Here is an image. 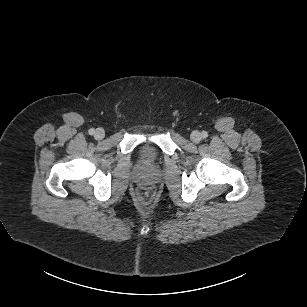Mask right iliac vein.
<instances>
[{"instance_id":"right-iliac-vein-1","label":"right iliac vein","mask_w":307,"mask_h":307,"mask_svg":"<svg viewBox=\"0 0 307 307\" xmlns=\"http://www.w3.org/2000/svg\"><path fill=\"white\" fill-rule=\"evenodd\" d=\"M105 136V132L102 128H98L96 131H95V134H94V137L97 139V140H101L103 139Z\"/></svg>"}]
</instances>
